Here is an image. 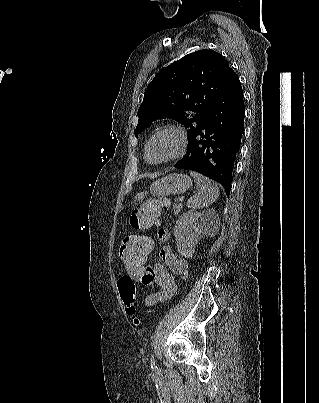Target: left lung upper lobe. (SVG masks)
Here are the masks:
<instances>
[{
	"label": "left lung upper lobe",
	"instance_id": "left-lung-upper-lobe-1",
	"mask_svg": "<svg viewBox=\"0 0 319 403\" xmlns=\"http://www.w3.org/2000/svg\"><path fill=\"white\" fill-rule=\"evenodd\" d=\"M231 68L222 55L204 49L160 71L148 85L138 110L135 136L157 119H174L189 128L191 140Z\"/></svg>",
	"mask_w": 319,
	"mask_h": 403
}]
</instances>
